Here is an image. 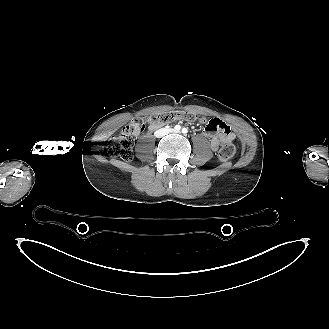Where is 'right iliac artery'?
<instances>
[{
	"label": "right iliac artery",
	"instance_id": "82829eb1",
	"mask_svg": "<svg viewBox=\"0 0 329 329\" xmlns=\"http://www.w3.org/2000/svg\"><path fill=\"white\" fill-rule=\"evenodd\" d=\"M174 129H175L176 131H179V130L181 129V126H180V125H175Z\"/></svg>",
	"mask_w": 329,
	"mask_h": 329
}]
</instances>
